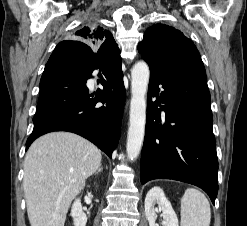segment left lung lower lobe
Segmentation results:
<instances>
[{
    "instance_id": "obj_1",
    "label": "left lung lower lobe",
    "mask_w": 247,
    "mask_h": 226,
    "mask_svg": "<svg viewBox=\"0 0 247 226\" xmlns=\"http://www.w3.org/2000/svg\"><path fill=\"white\" fill-rule=\"evenodd\" d=\"M159 85L164 89L160 96ZM153 96L157 97L154 102ZM161 111L165 112L162 118ZM212 126L204 71L184 69L165 73L150 68L141 183L152 179L190 183L202 188L214 204L218 160Z\"/></svg>"
}]
</instances>
